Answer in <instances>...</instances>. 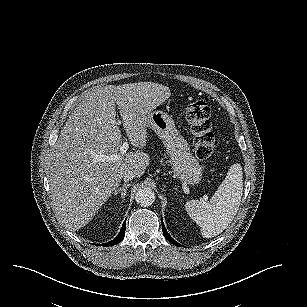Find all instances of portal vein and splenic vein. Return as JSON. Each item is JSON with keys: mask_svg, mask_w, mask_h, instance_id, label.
Masks as SVG:
<instances>
[{"mask_svg": "<svg viewBox=\"0 0 307 307\" xmlns=\"http://www.w3.org/2000/svg\"><path fill=\"white\" fill-rule=\"evenodd\" d=\"M129 149V144L126 141L123 142V144L119 148V153L112 154V155H95V158L98 161H117L122 159L123 155L127 153V150Z\"/></svg>", "mask_w": 307, "mask_h": 307, "instance_id": "18ae733b", "label": "portal vein and splenic vein"}]
</instances>
